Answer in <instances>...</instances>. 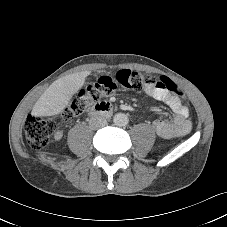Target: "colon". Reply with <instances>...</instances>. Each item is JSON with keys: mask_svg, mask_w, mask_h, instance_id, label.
Wrapping results in <instances>:
<instances>
[{"mask_svg": "<svg viewBox=\"0 0 227 227\" xmlns=\"http://www.w3.org/2000/svg\"><path fill=\"white\" fill-rule=\"evenodd\" d=\"M156 82L166 85V89L181 95V90L168 78L156 77L133 70H119L114 76H101L95 83L79 91L72 102L61 114L63 120H71L82 114L90 106L98 103L102 98L113 95L119 88L140 91L149 86H155ZM25 134L29 145L34 149L44 148L50 141L56 130L54 119H42L28 116L25 125Z\"/></svg>", "mask_w": 227, "mask_h": 227, "instance_id": "obj_1", "label": "colon"}]
</instances>
